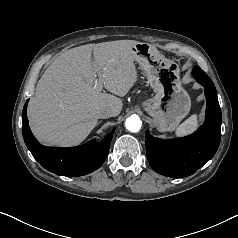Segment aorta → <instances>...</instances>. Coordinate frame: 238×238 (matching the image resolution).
I'll list each match as a JSON object with an SVG mask.
<instances>
[{
	"instance_id": "1",
	"label": "aorta",
	"mask_w": 238,
	"mask_h": 238,
	"mask_svg": "<svg viewBox=\"0 0 238 238\" xmlns=\"http://www.w3.org/2000/svg\"><path fill=\"white\" fill-rule=\"evenodd\" d=\"M125 126L130 132L136 133L141 129L142 121L138 116L132 115L126 119Z\"/></svg>"
}]
</instances>
